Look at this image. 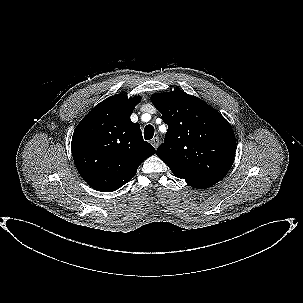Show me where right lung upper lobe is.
<instances>
[{"label":"right lung upper lobe","mask_w":303,"mask_h":303,"mask_svg":"<svg viewBox=\"0 0 303 303\" xmlns=\"http://www.w3.org/2000/svg\"><path fill=\"white\" fill-rule=\"evenodd\" d=\"M140 97L118 94L95 106L76 127L71 143L79 174L94 189L112 192L130 181L156 153L130 115Z\"/></svg>","instance_id":"cb5924a9"}]
</instances>
